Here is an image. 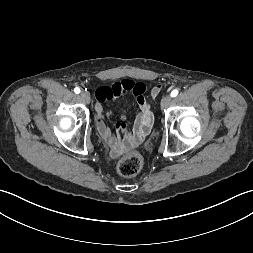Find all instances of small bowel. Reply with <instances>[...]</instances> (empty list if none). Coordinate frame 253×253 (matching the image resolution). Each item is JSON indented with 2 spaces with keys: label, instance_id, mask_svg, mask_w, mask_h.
Here are the masks:
<instances>
[{
  "label": "small bowel",
  "instance_id": "c3829d8e",
  "mask_svg": "<svg viewBox=\"0 0 253 253\" xmlns=\"http://www.w3.org/2000/svg\"><path fill=\"white\" fill-rule=\"evenodd\" d=\"M161 85L154 87L152 93L159 92ZM146 87L143 83L124 79L116 82L111 87L102 86L96 91L97 103L95 105L97 129L103 140L109 145L111 154L119 156L120 154L137 146L150 132L153 125V114L145 98ZM131 92L138 104L139 113L135 118L131 130H127L125 115L115 124V131H112L107 124L111 117L110 112H105L101 105L105 101H114L125 93Z\"/></svg>",
  "mask_w": 253,
  "mask_h": 253
}]
</instances>
